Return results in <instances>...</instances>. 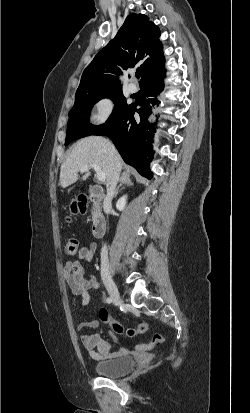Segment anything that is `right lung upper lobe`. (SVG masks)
Wrapping results in <instances>:
<instances>
[{"label": "right lung upper lobe", "mask_w": 250, "mask_h": 413, "mask_svg": "<svg viewBox=\"0 0 250 413\" xmlns=\"http://www.w3.org/2000/svg\"><path fill=\"white\" fill-rule=\"evenodd\" d=\"M160 30L143 14H130L117 35L94 57L83 71L76 95L110 89H120L117 78L122 65L125 69L141 62V81L164 70Z\"/></svg>", "instance_id": "obj_1"}]
</instances>
